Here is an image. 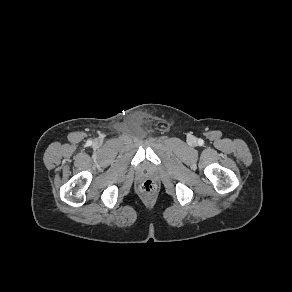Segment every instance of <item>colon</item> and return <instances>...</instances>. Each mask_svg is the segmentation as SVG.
Wrapping results in <instances>:
<instances>
[{
    "instance_id": "5ec220e1",
    "label": "colon",
    "mask_w": 292,
    "mask_h": 292,
    "mask_svg": "<svg viewBox=\"0 0 292 292\" xmlns=\"http://www.w3.org/2000/svg\"><path fill=\"white\" fill-rule=\"evenodd\" d=\"M141 190L146 194H151L156 190V183L151 179H147L142 183Z\"/></svg>"
}]
</instances>
